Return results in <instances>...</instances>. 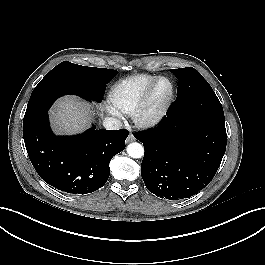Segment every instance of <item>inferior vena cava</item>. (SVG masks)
Instances as JSON below:
<instances>
[{"label": "inferior vena cava", "instance_id": "obj_1", "mask_svg": "<svg viewBox=\"0 0 265 265\" xmlns=\"http://www.w3.org/2000/svg\"><path fill=\"white\" fill-rule=\"evenodd\" d=\"M103 126L108 130H119L122 127V123L117 118L106 117L103 120Z\"/></svg>", "mask_w": 265, "mask_h": 265}]
</instances>
